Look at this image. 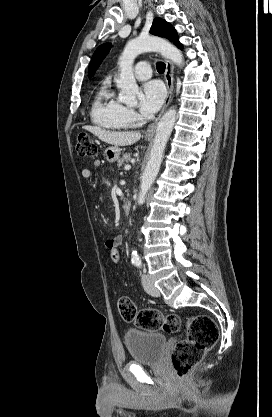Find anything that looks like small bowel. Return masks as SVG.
<instances>
[{
    "instance_id": "small-bowel-1",
    "label": "small bowel",
    "mask_w": 272,
    "mask_h": 417,
    "mask_svg": "<svg viewBox=\"0 0 272 417\" xmlns=\"http://www.w3.org/2000/svg\"><path fill=\"white\" fill-rule=\"evenodd\" d=\"M101 165H102V162L98 159L93 162L94 167H100ZM81 175H82L83 178L89 179L92 176V171L89 168H84L81 171ZM112 242H119L121 244L122 243V236L120 234H118V235H115L114 237L110 238L109 240L106 241V246H108Z\"/></svg>"
}]
</instances>
